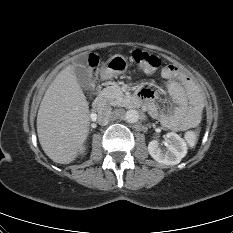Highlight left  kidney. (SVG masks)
Masks as SVG:
<instances>
[{"instance_id":"obj_1","label":"left kidney","mask_w":233,"mask_h":233,"mask_svg":"<svg viewBox=\"0 0 233 233\" xmlns=\"http://www.w3.org/2000/svg\"><path fill=\"white\" fill-rule=\"evenodd\" d=\"M169 141L167 149H161L158 141L152 140L148 145L151 157L165 165H176L187 153V143L178 134L170 132L166 134Z\"/></svg>"}]
</instances>
